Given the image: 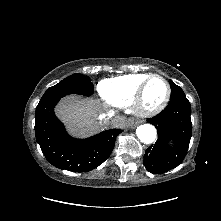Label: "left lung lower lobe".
Segmentation results:
<instances>
[{"label":"left lung lower lobe","instance_id":"left-lung-lower-lobe-1","mask_svg":"<svg viewBox=\"0 0 221 221\" xmlns=\"http://www.w3.org/2000/svg\"><path fill=\"white\" fill-rule=\"evenodd\" d=\"M190 115V102L182 98L170 101L162 112L147 119L158 132L156 143L144 155L143 164L149 172L159 174L169 171L184 160L192 136Z\"/></svg>","mask_w":221,"mask_h":221}]
</instances>
